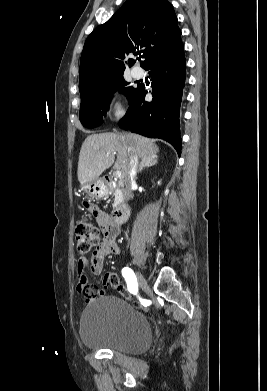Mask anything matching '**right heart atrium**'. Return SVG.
<instances>
[{"instance_id": "1", "label": "right heart atrium", "mask_w": 267, "mask_h": 391, "mask_svg": "<svg viewBox=\"0 0 267 391\" xmlns=\"http://www.w3.org/2000/svg\"><path fill=\"white\" fill-rule=\"evenodd\" d=\"M105 114L114 118H121L125 114V108L119 98H111L104 110Z\"/></svg>"}]
</instances>
